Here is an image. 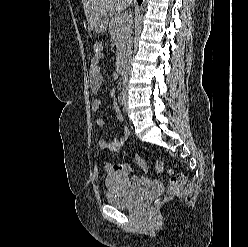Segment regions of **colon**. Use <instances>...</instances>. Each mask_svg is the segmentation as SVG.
I'll list each match as a JSON object with an SVG mask.
<instances>
[{"label":"colon","mask_w":248,"mask_h":247,"mask_svg":"<svg viewBox=\"0 0 248 247\" xmlns=\"http://www.w3.org/2000/svg\"><path fill=\"white\" fill-rule=\"evenodd\" d=\"M102 48L103 46L101 42H96L93 47L94 51L96 52L101 51ZM135 162L142 170H147V164L140 156H135ZM154 168L157 173L165 172V165L162 160H156L154 163ZM167 173L170 176V183L167 189V193L168 195H174L183 188L186 183V177L183 174L177 173L173 170H167ZM158 203H160V200L155 201V204Z\"/></svg>","instance_id":"obj_1"}]
</instances>
